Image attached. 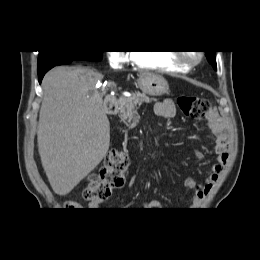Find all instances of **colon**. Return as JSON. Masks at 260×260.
I'll use <instances>...</instances> for the list:
<instances>
[{
    "label": "colon",
    "mask_w": 260,
    "mask_h": 260,
    "mask_svg": "<svg viewBox=\"0 0 260 260\" xmlns=\"http://www.w3.org/2000/svg\"><path fill=\"white\" fill-rule=\"evenodd\" d=\"M177 103L182 112L191 118L200 119L206 116H214L217 113L210 102L202 97L180 96ZM128 166L129 161L125 154L111 153L101 171L89 177L88 183L83 190L84 199L91 201L108 198L114 189L121 188L124 185ZM65 208L80 210L81 206L75 201H67Z\"/></svg>",
    "instance_id": "colon-1"
}]
</instances>
